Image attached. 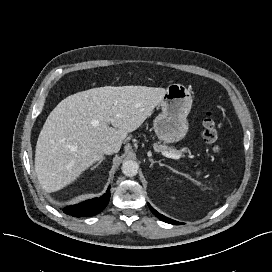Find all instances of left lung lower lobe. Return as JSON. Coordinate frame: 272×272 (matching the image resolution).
Returning <instances> with one entry per match:
<instances>
[{
	"instance_id": "0a47b994",
	"label": "left lung lower lobe",
	"mask_w": 272,
	"mask_h": 272,
	"mask_svg": "<svg viewBox=\"0 0 272 272\" xmlns=\"http://www.w3.org/2000/svg\"><path fill=\"white\" fill-rule=\"evenodd\" d=\"M149 208L151 209V211L153 212V214L156 215V217H158L160 220L162 221H165L167 223H170V224H175V225H180L181 223L180 222H177V221H174L160 213H158L153 207H151L149 204H148Z\"/></svg>"
}]
</instances>
